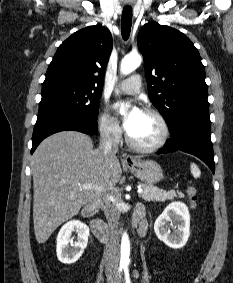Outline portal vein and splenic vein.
<instances>
[{"instance_id": "18ae733b", "label": "portal vein and splenic vein", "mask_w": 233, "mask_h": 283, "mask_svg": "<svg viewBox=\"0 0 233 283\" xmlns=\"http://www.w3.org/2000/svg\"><path fill=\"white\" fill-rule=\"evenodd\" d=\"M80 188L82 189H88V190H94V189H98L100 191H103V189L97 187L96 185L94 184H91V183H86V184H80L79 185ZM138 194H141L143 192V189L141 187L138 188L137 190Z\"/></svg>"}]
</instances>
